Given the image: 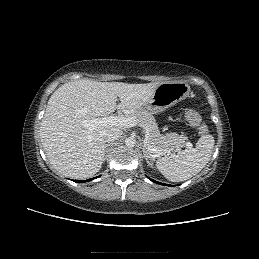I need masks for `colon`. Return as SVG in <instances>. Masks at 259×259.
<instances>
[{
    "instance_id": "5ec220e1",
    "label": "colon",
    "mask_w": 259,
    "mask_h": 259,
    "mask_svg": "<svg viewBox=\"0 0 259 259\" xmlns=\"http://www.w3.org/2000/svg\"><path fill=\"white\" fill-rule=\"evenodd\" d=\"M185 117L188 119V121L190 122V124L201 134H206L207 133V127L206 125L203 123L200 115L189 109L185 112Z\"/></svg>"
}]
</instances>
